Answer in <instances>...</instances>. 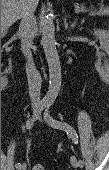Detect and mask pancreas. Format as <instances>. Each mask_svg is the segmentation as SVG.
I'll use <instances>...</instances> for the list:
<instances>
[{"mask_svg":"<svg viewBox=\"0 0 109 170\" xmlns=\"http://www.w3.org/2000/svg\"><path fill=\"white\" fill-rule=\"evenodd\" d=\"M80 10L82 12H87L88 11L84 6H81ZM108 14H109V8H108V6H104V5H101L99 7L98 11L92 10L89 13L90 16H95V15H98V16H107Z\"/></svg>","mask_w":109,"mask_h":170,"instance_id":"pancreas-1","label":"pancreas"}]
</instances>
